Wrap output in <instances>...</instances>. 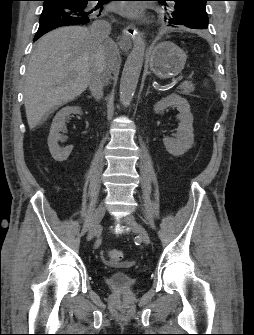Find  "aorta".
<instances>
[{
	"label": "aorta",
	"instance_id": "762f6f07",
	"mask_svg": "<svg viewBox=\"0 0 254 335\" xmlns=\"http://www.w3.org/2000/svg\"><path fill=\"white\" fill-rule=\"evenodd\" d=\"M146 42L143 34L139 35L125 62L120 81V101L127 107L130 105L139 81L143 66Z\"/></svg>",
	"mask_w": 254,
	"mask_h": 335
}]
</instances>
